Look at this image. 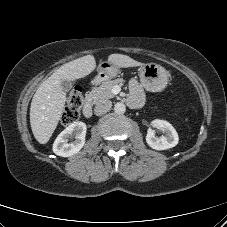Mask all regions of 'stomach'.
Instances as JSON below:
<instances>
[{
  "mask_svg": "<svg viewBox=\"0 0 227 227\" xmlns=\"http://www.w3.org/2000/svg\"><path fill=\"white\" fill-rule=\"evenodd\" d=\"M119 73V68L110 62H101L98 67L96 82L105 81L115 77ZM140 81L142 86L151 92L163 91L168 83V75L165 69L157 64H145L140 68Z\"/></svg>",
  "mask_w": 227,
  "mask_h": 227,
  "instance_id": "0dacf381",
  "label": "stomach"
}]
</instances>
